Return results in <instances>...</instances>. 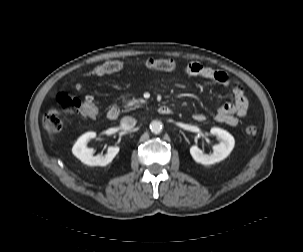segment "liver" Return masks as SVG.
<instances>
[{"mask_svg":"<svg viewBox=\"0 0 303 252\" xmlns=\"http://www.w3.org/2000/svg\"><path fill=\"white\" fill-rule=\"evenodd\" d=\"M47 130H48L49 134H51V129L49 126H47ZM51 140H53V137H51Z\"/></svg>","mask_w":303,"mask_h":252,"instance_id":"liver-1","label":"liver"}]
</instances>
